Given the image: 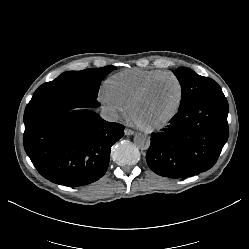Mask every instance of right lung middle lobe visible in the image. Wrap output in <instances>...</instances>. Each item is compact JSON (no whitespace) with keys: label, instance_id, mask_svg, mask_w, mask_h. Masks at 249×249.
<instances>
[{"label":"right lung middle lobe","instance_id":"obj_1","mask_svg":"<svg viewBox=\"0 0 249 249\" xmlns=\"http://www.w3.org/2000/svg\"><path fill=\"white\" fill-rule=\"evenodd\" d=\"M115 69V66L109 65L102 68L65 72L53 81L42 84L34 95L55 90H78L85 94L86 97L96 99L101 81L109 72Z\"/></svg>","mask_w":249,"mask_h":249}]
</instances>
